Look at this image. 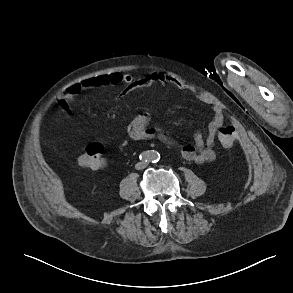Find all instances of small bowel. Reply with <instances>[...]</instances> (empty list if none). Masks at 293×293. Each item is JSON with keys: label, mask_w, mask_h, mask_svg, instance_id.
<instances>
[{"label": "small bowel", "mask_w": 293, "mask_h": 293, "mask_svg": "<svg viewBox=\"0 0 293 293\" xmlns=\"http://www.w3.org/2000/svg\"><path fill=\"white\" fill-rule=\"evenodd\" d=\"M122 83L129 85L131 89L136 87L153 86L156 84H172L179 90L186 89L182 82L161 72H154L148 79H143L136 83H133L132 77L128 74L111 72L89 77L68 86L62 93L57 95L56 103L65 114L69 115L71 113L70 103L73 102L77 95L83 90L95 87H116ZM223 122L224 116L221 109L214 107L213 118L208 125L207 135L204 136L201 132L196 133L194 136V142L191 144H185L182 147L183 158L197 164L214 161L216 158V153L213 149L215 135ZM149 124L150 117L147 114H140L128 125L127 132L134 140L158 138L162 142H170L167 134L150 127Z\"/></svg>", "instance_id": "small-bowel-1"}]
</instances>
